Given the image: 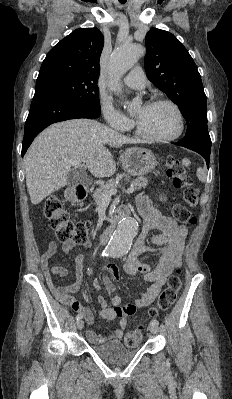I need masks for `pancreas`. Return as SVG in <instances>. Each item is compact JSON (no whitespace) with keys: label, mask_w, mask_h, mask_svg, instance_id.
<instances>
[{"label":"pancreas","mask_w":232,"mask_h":399,"mask_svg":"<svg viewBox=\"0 0 232 399\" xmlns=\"http://www.w3.org/2000/svg\"><path fill=\"white\" fill-rule=\"evenodd\" d=\"M148 180L147 178H144V176H138L136 180H133L131 182V186H133L134 190H141V188H145L147 186ZM119 186V180H108L106 184H100L99 188L93 192V190H90V192H93L92 198L95 201L96 205H98L99 201L105 200V196H107L106 192H109V190H117Z\"/></svg>","instance_id":"obj_1"}]
</instances>
